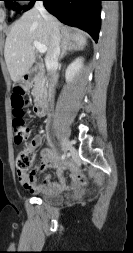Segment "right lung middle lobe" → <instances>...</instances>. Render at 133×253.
Masks as SVG:
<instances>
[{
	"label": "right lung middle lobe",
	"mask_w": 133,
	"mask_h": 253,
	"mask_svg": "<svg viewBox=\"0 0 133 253\" xmlns=\"http://www.w3.org/2000/svg\"><path fill=\"white\" fill-rule=\"evenodd\" d=\"M3 1H6V5L13 7V9L17 11V13H19L23 8V7H19V6L16 7L15 1H24V0H3Z\"/></svg>",
	"instance_id": "right-lung-middle-lobe-1"
}]
</instances>
